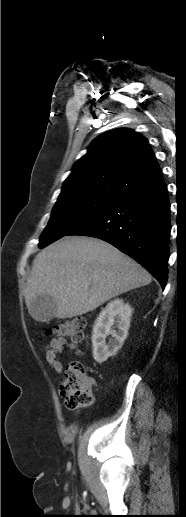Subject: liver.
Returning <instances> with one entry per match:
<instances>
[{
	"instance_id": "1",
	"label": "liver",
	"mask_w": 186,
	"mask_h": 517,
	"mask_svg": "<svg viewBox=\"0 0 186 517\" xmlns=\"http://www.w3.org/2000/svg\"><path fill=\"white\" fill-rule=\"evenodd\" d=\"M151 281L146 269L111 244L97 238L65 237L36 255L25 301L29 309L37 296H50L56 303L53 316L72 318Z\"/></svg>"
}]
</instances>
